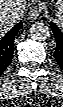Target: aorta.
<instances>
[{
    "instance_id": "aorta-1",
    "label": "aorta",
    "mask_w": 63,
    "mask_h": 107,
    "mask_svg": "<svg viewBox=\"0 0 63 107\" xmlns=\"http://www.w3.org/2000/svg\"><path fill=\"white\" fill-rule=\"evenodd\" d=\"M49 35V27L42 22L34 23L30 27V36L36 41H45L46 39H48Z\"/></svg>"
}]
</instances>
